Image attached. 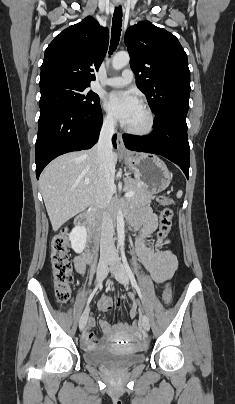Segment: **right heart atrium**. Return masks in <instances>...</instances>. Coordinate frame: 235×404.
I'll list each match as a JSON object with an SVG mask.
<instances>
[{
	"mask_svg": "<svg viewBox=\"0 0 235 404\" xmlns=\"http://www.w3.org/2000/svg\"><path fill=\"white\" fill-rule=\"evenodd\" d=\"M103 125L107 128H113L115 126V120L109 113H104L102 116Z\"/></svg>",
	"mask_w": 235,
	"mask_h": 404,
	"instance_id": "d8ad5b80",
	"label": "right heart atrium"
}]
</instances>
